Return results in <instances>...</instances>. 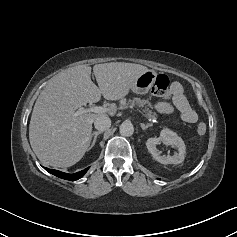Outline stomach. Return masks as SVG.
<instances>
[{"label": "stomach", "instance_id": "obj_1", "mask_svg": "<svg viewBox=\"0 0 237 237\" xmlns=\"http://www.w3.org/2000/svg\"><path fill=\"white\" fill-rule=\"evenodd\" d=\"M157 73L153 70H147L142 73L131 86V90L136 94H146L152 87Z\"/></svg>", "mask_w": 237, "mask_h": 237}]
</instances>
